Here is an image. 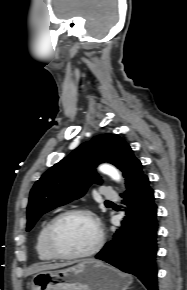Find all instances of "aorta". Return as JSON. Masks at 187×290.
<instances>
[{
  "mask_svg": "<svg viewBox=\"0 0 187 290\" xmlns=\"http://www.w3.org/2000/svg\"><path fill=\"white\" fill-rule=\"evenodd\" d=\"M100 171L109 175L112 179L116 181H119L121 178L119 172L112 166L103 165L100 167Z\"/></svg>",
  "mask_w": 187,
  "mask_h": 290,
  "instance_id": "aorta-1",
  "label": "aorta"
}]
</instances>
